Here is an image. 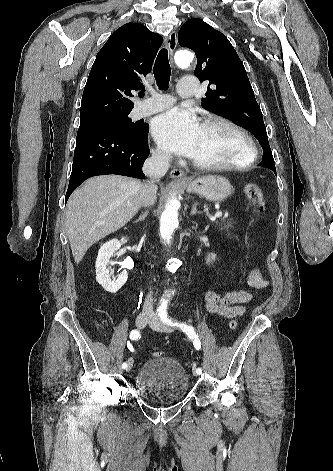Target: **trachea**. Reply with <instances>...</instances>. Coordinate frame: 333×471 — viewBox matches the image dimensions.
Returning <instances> with one entry per match:
<instances>
[{
	"label": "trachea",
	"instance_id": "1",
	"mask_svg": "<svg viewBox=\"0 0 333 471\" xmlns=\"http://www.w3.org/2000/svg\"><path fill=\"white\" fill-rule=\"evenodd\" d=\"M153 73L158 88L160 90H165L169 85L171 74L170 64L168 60V51L166 48H162L158 53L154 64ZM140 97H143V93L140 94Z\"/></svg>",
	"mask_w": 333,
	"mask_h": 471
}]
</instances>
